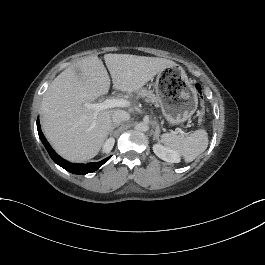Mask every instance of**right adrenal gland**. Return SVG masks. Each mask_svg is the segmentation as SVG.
I'll use <instances>...</instances> for the list:
<instances>
[{
	"label": "right adrenal gland",
	"instance_id": "obj_1",
	"mask_svg": "<svg viewBox=\"0 0 265 265\" xmlns=\"http://www.w3.org/2000/svg\"><path fill=\"white\" fill-rule=\"evenodd\" d=\"M117 126H119V124H114L113 126H112V129H111V131H113Z\"/></svg>",
	"mask_w": 265,
	"mask_h": 265
}]
</instances>
